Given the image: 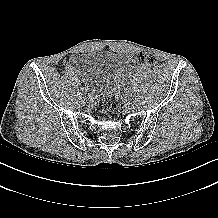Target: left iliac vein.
Masks as SVG:
<instances>
[{
	"label": "left iliac vein",
	"mask_w": 218,
	"mask_h": 218,
	"mask_svg": "<svg viewBox=\"0 0 218 218\" xmlns=\"http://www.w3.org/2000/svg\"><path fill=\"white\" fill-rule=\"evenodd\" d=\"M128 105H129V106H132V105H133V101H132V100H129V101H128Z\"/></svg>",
	"instance_id": "left-iliac-vein-1"
}]
</instances>
